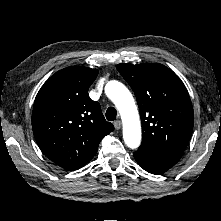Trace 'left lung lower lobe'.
Wrapping results in <instances>:
<instances>
[{
	"label": "left lung lower lobe",
	"instance_id": "0a47b994",
	"mask_svg": "<svg viewBox=\"0 0 221 221\" xmlns=\"http://www.w3.org/2000/svg\"><path fill=\"white\" fill-rule=\"evenodd\" d=\"M134 158L144 170L152 174H162L179 161L175 158L158 155L145 148H138L134 152Z\"/></svg>",
	"mask_w": 221,
	"mask_h": 221
}]
</instances>
